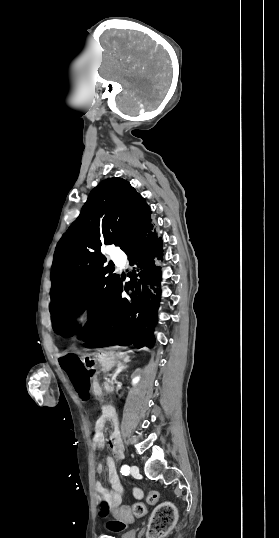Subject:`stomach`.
<instances>
[{
  "label": "stomach",
  "instance_id": "obj_1",
  "mask_svg": "<svg viewBox=\"0 0 279 538\" xmlns=\"http://www.w3.org/2000/svg\"><path fill=\"white\" fill-rule=\"evenodd\" d=\"M125 358H127L126 352H103L97 353L96 361L97 364H100L103 372H108V370H111L113 366H116V364H119V362H121V360H125ZM104 389V384L97 382L93 393L98 395L100 399H103L105 397V394L102 392Z\"/></svg>",
  "mask_w": 279,
  "mask_h": 538
}]
</instances>
